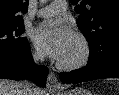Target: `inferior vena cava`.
I'll use <instances>...</instances> for the list:
<instances>
[{
  "instance_id": "obj_1",
  "label": "inferior vena cava",
  "mask_w": 119,
  "mask_h": 95,
  "mask_svg": "<svg viewBox=\"0 0 119 95\" xmlns=\"http://www.w3.org/2000/svg\"><path fill=\"white\" fill-rule=\"evenodd\" d=\"M34 61L36 63L39 62V60H43L44 57L41 54L35 53L33 55ZM34 87L32 84L28 81L22 82V87H21V95H34Z\"/></svg>"
}]
</instances>
